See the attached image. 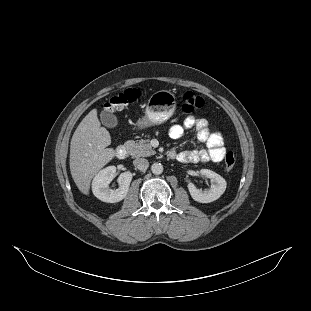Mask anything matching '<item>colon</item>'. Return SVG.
Returning <instances> with one entry per match:
<instances>
[{
	"instance_id": "obj_1",
	"label": "colon",
	"mask_w": 311,
	"mask_h": 311,
	"mask_svg": "<svg viewBox=\"0 0 311 311\" xmlns=\"http://www.w3.org/2000/svg\"><path fill=\"white\" fill-rule=\"evenodd\" d=\"M139 97V93L136 90H127L124 93L113 97L107 104L106 108L110 112H116L123 110L128 104L134 102ZM204 105V100L198 94L187 91L182 97V110L187 113H193L196 110L202 108ZM236 163V158L234 153L227 152L224 157V168L229 171L233 169Z\"/></svg>"
}]
</instances>
